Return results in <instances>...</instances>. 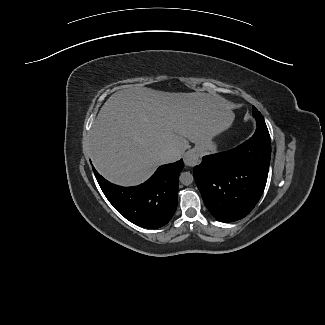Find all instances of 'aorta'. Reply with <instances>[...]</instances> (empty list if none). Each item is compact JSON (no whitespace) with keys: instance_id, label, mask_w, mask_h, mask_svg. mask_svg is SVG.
I'll return each instance as SVG.
<instances>
[{"instance_id":"obj_1","label":"aorta","mask_w":325,"mask_h":325,"mask_svg":"<svg viewBox=\"0 0 325 325\" xmlns=\"http://www.w3.org/2000/svg\"><path fill=\"white\" fill-rule=\"evenodd\" d=\"M179 181L183 184V185H190L193 183L194 181V177L190 172H183L180 174L179 176Z\"/></svg>"}]
</instances>
